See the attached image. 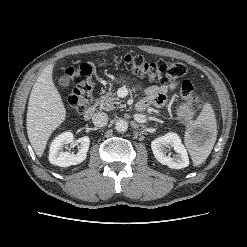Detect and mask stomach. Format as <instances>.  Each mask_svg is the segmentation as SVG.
<instances>
[{"mask_svg": "<svg viewBox=\"0 0 247 247\" xmlns=\"http://www.w3.org/2000/svg\"><path fill=\"white\" fill-rule=\"evenodd\" d=\"M188 130L192 131L194 130L195 128H197L196 126H194V123H192L190 120H188Z\"/></svg>", "mask_w": 247, "mask_h": 247, "instance_id": "0dacf381", "label": "stomach"}]
</instances>
